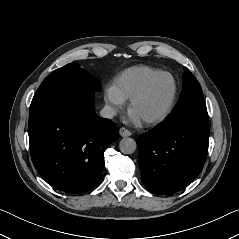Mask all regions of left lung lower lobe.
I'll return each mask as SVG.
<instances>
[{"mask_svg":"<svg viewBox=\"0 0 239 239\" xmlns=\"http://www.w3.org/2000/svg\"><path fill=\"white\" fill-rule=\"evenodd\" d=\"M206 108H191L138 138L143 185L167 195L188 186L203 169L208 150Z\"/></svg>","mask_w":239,"mask_h":239,"instance_id":"0a47b994","label":"left lung lower lobe"}]
</instances>
